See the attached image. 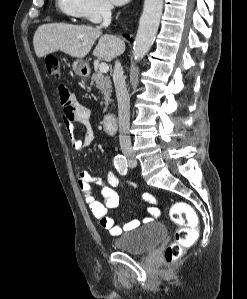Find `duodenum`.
Wrapping results in <instances>:
<instances>
[{
    "label": "duodenum",
    "instance_id": "1",
    "mask_svg": "<svg viewBox=\"0 0 247 299\" xmlns=\"http://www.w3.org/2000/svg\"><path fill=\"white\" fill-rule=\"evenodd\" d=\"M103 127L108 134H114L117 130V116L113 113L106 114L103 118Z\"/></svg>",
    "mask_w": 247,
    "mask_h": 299
}]
</instances>
